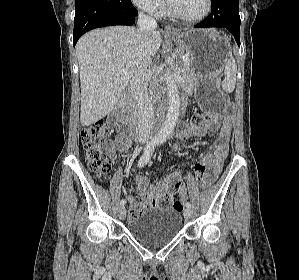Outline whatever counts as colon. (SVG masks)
I'll return each instance as SVG.
<instances>
[{
    "label": "colon",
    "mask_w": 299,
    "mask_h": 280,
    "mask_svg": "<svg viewBox=\"0 0 299 280\" xmlns=\"http://www.w3.org/2000/svg\"><path fill=\"white\" fill-rule=\"evenodd\" d=\"M217 117L210 114H199L192 118L194 125H200L205 121L214 120ZM110 132L102 123L97 122L83 129L81 133L82 145L85 150L88 168L98 177L106 178L112 169L113 160L110 155L102 149V144L109 138ZM195 174L200 186H207L211 183L208 173V165L199 161L194 166ZM184 207L182 200H176L173 208L182 211ZM142 213L140 205L130 208V218L134 219Z\"/></svg>",
    "instance_id": "1"
}]
</instances>
